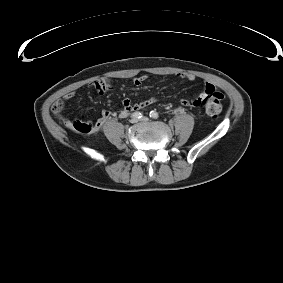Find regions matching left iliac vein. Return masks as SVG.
<instances>
[{"label":"left iliac vein","instance_id":"left-iliac-vein-1","mask_svg":"<svg viewBox=\"0 0 283 283\" xmlns=\"http://www.w3.org/2000/svg\"><path fill=\"white\" fill-rule=\"evenodd\" d=\"M140 121L148 122V121H149V118H148V117H143L142 119H140Z\"/></svg>","mask_w":283,"mask_h":283}]
</instances>
